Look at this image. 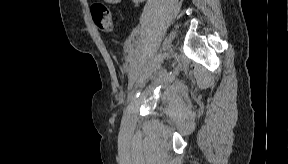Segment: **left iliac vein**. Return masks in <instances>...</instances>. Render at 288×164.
<instances>
[{
  "label": "left iliac vein",
  "mask_w": 288,
  "mask_h": 164,
  "mask_svg": "<svg viewBox=\"0 0 288 164\" xmlns=\"http://www.w3.org/2000/svg\"><path fill=\"white\" fill-rule=\"evenodd\" d=\"M135 81H136V77L132 76L130 79H129V85H128V88L129 89H132L134 84H135Z\"/></svg>",
  "instance_id": "left-iliac-vein-1"
}]
</instances>
